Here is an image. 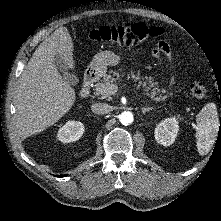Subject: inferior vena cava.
<instances>
[{
  "mask_svg": "<svg viewBox=\"0 0 221 221\" xmlns=\"http://www.w3.org/2000/svg\"><path fill=\"white\" fill-rule=\"evenodd\" d=\"M91 110L95 114L103 115L111 111V107L105 103H96L91 106Z\"/></svg>",
  "mask_w": 221,
  "mask_h": 221,
  "instance_id": "602c4592",
  "label": "inferior vena cava"
}]
</instances>
